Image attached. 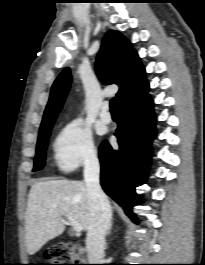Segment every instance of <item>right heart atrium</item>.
I'll return each mask as SVG.
<instances>
[{"instance_id": "d8ad5b80", "label": "right heart atrium", "mask_w": 205, "mask_h": 265, "mask_svg": "<svg viewBox=\"0 0 205 265\" xmlns=\"http://www.w3.org/2000/svg\"><path fill=\"white\" fill-rule=\"evenodd\" d=\"M92 133L79 119L68 122L58 133L54 142V161L65 172L97 162Z\"/></svg>"}]
</instances>
